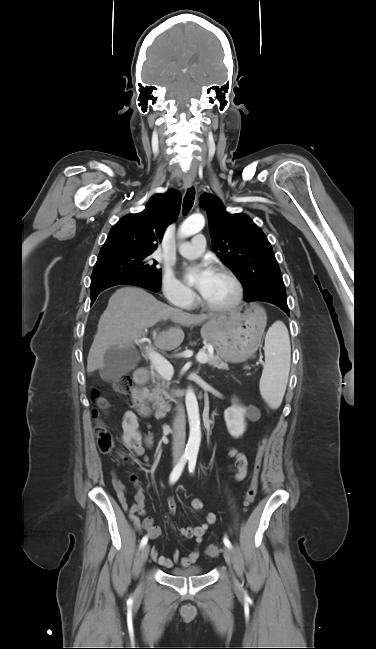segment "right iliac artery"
Here are the masks:
<instances>
[{
    "label": "right iliac artery",
    "instance_id": "obj_1",
    "mask_svg": "<svg viewBox=\"0 0 376 649\" xmlns=\"http://www.w3.org/2000/svg\"><path fill=\"white\" fill-rule=\"evenodd\" d=\"M187 459H189L188 456H186V455L182 456L181 459L179 460L178 464L172 470V472L170 474V483L171 484L175 483L179 479V477H180V475H181V473L183 471V468H184V466H185V464L187 462ZM147 541H148V536H144L142 538V540H141L140 547L141 548L144 547L147 544Z\"/></svg>",
    "mask_w": 376,
    "mask_h": 649
}]
</instances>
